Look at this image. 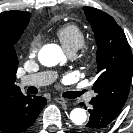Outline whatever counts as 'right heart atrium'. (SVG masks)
Wrapping results in <instances>:
<instances>
[{
	"instance_id": "right-heart-atrium-1",
	"label": "right heart atrium",
	"mask_w": 133,
	"mask_h": 133,
	"mask_svg": "<svg viewBox=\"0 0 133 133\" xmlns=\"http://www.w3.org/2000/svg\"><path fill=\"white\" fill-rule=\"evenodd\" d=\"M40 44H41V38L39 36H34L30 40L28 44V49H27V53L29 57H35L37 55Z\"/></svg>"
}]
</instances>
